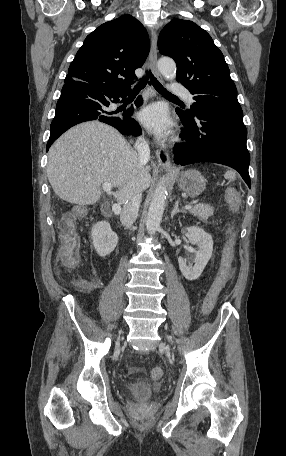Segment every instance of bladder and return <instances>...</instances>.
<instances>
[{
    "label": "bladder",
    "instance_id": "obj_1",
    "mask_svg": "<svg viewBox=\"0 0 286 456\" xmlns=\"http://www.w3.org/2000/svg\"><path fill=\"white\" fill-rule=\"evenodd\" d=\"M125 390L139 400H149L156 391V388L143 381H139L126 384Z\"/></svg>",
    "mask_w": 286,
    "mask_h": 456
}]
</instances>
